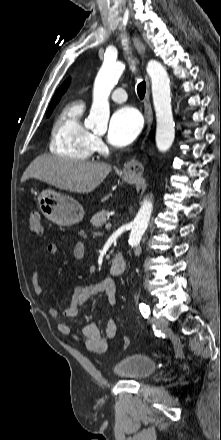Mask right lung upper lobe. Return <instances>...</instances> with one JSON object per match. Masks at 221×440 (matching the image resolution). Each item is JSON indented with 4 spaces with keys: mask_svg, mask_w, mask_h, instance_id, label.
Wrapping results in <instances>:
<instances>
[{
    "mask_svg": "<svg viewBox=\"0 0 221 440\" xmlns=\"http://www.w3.org/2000/svg\"><path fill=\"white\" fill-rule=\"evenodd\" d=\"M70 84V79L68 78L61 86L60 89H58L50 103L49 109H51L52 107H55L56 104L58 103V101L61 98V95L66 91L67 87Z\"/></svg>",
    "mask_w": 221,
    "mask_h": 440,
    "instance_id": "obj_1",
    "label": "right lung upper lobe"
}]
</instances>
